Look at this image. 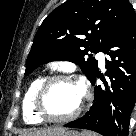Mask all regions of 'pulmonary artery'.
<instances>
[{
  "instance_id": "e3ab8cb5",
  "label": "pulmonary artery",
  "mask_w": 136,
  "mask_h": 136,
  "mask_svg": "<svg viewBox=\"0 0 136 136\" xmlns=\"http://www.w3.org/2000/svg\"><path fill=\"white\" fill-rule=\"evenodd\" d=\"M96 57L99 60L100 66L104 67L105 66V54L103 52H99Z\"/></svg>"
}]
</instances>
